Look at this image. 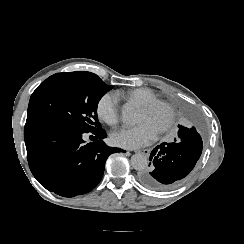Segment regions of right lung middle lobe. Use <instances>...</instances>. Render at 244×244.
I'll return each instance as SVG.
<instances>
[{
	"instance_id": "right-lung-middle-lobe-1",
	"label": "right lung middle lobe",
	"mask_w": 244,
	"mask_h": 244,
	"mask_svg": "<svg viewBox=\"0 0 244 244\" xmlns=\"http://www.w3.org/2000/svg\"><path fill=\"white\" fill-rule=\"evenodd\" d=\"M112 88L96 74L86 71L54 74L31 95L27 121L41 120L93 132L101 128L97 117L98 102Z\"/></svg>"
}]
</instances>
